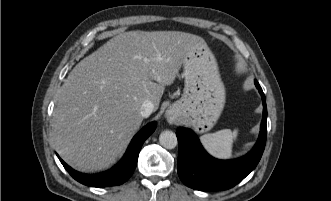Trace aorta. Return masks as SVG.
Returning a JSON list of instances; mask_svg holds the SVG:
<instances>
[{
    "instance_id": "1",
    "label": "aorta",
    "mask_w": 331,
    "mask_h": 201,
    "mask_svg": "<svg viewBox=\"0 0 331 201\" xmlns=\"http://www.w3.org/2000/svg\"><path fill=\"white\" fill-rule=\"evenodd\" d=\"M161 146L166 149H173L177 146V137L174 132L165 130L159 136Z\"/></svg>"
}]
</instances>
